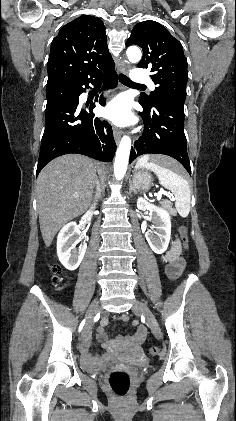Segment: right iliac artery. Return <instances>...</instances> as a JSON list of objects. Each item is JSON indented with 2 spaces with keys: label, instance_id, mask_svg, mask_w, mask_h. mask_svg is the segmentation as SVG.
<instances>
[{
  "label": "right iliac artery",
  "instance_id": "obj_1",
  "mask_svg": "<svg viewBox=\"0 0 236 421\" xmlns=\"http://www.w3.org/2000/svg\"><path fill=\"white\" fill-rule=\"evenodd\" d=\"M84 324H85V320H83V321L81 322V324H80V326H79V332L82 330V328H83Z\"/></svg>",
  "mask_w": 236,
  "mask_h": 421
}]
</instances>
